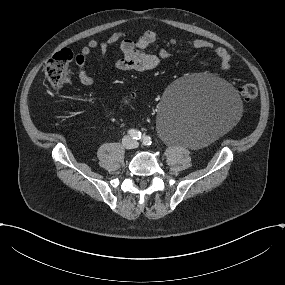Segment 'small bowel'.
<instances>
[{
    "label": "small bowel",
    "instance_id": "c3829d8e",
    "mask_svg": "<svg viewBox=\"0 0 285 285\" xmlns=\"http://www.w3.org/2000/svg\"><path fill=\"white\" fill-rule=\"evenodd\" d=\"M157 42V34L153 31L145 32L137 40L128 38L124 33H114L104 41L95 39L85 44L75 55V63L78 67V80L84 86H91L94 83L92 75L86 70V60L94 50H99L104 57L109 48L119 43L120 57L115 61L114 66L119 71H148L155 69L161 60L168 59L171 54L166 49H160L158 53H150L148 49ZM175 45V40L171 41ZM189 45L197 50H212L219 60V68L227 71L231 65V55L226 48L217 46L204 39H195ZM67 78L64 84H68Z\"/></svg>",
    "mask_w": 285,
    "mask_h": 285
}]
</instances>
